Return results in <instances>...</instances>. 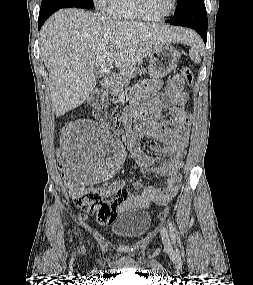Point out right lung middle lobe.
<instances>
[{
	"label": "right lung middle lobe",
	"mask_w": 253,
	"mask_h": 285,
	"mask_svg": "<svg viewBox=\"0 0 253 285\" xmlns=\"http://www.w3.org/2000/svg\"><path fill=\"white\" fill-rule=\"evenodd\" d=\"M49 7H77V8H93L92 0H42L41 9Z\"/></svg>",
	"instance_id": "dd1d6c3e"
}]
</instances>
